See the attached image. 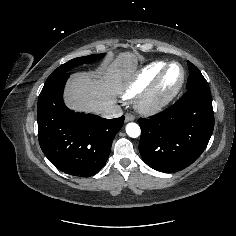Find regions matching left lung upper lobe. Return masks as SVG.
<instances>
[{
  "label": "left lung upper lobe",
  "instance_id": "left-lung-upper-lobe-1",
  "mask_svg": "<svg viewBox=\"0 0 236 236\" xmlns=\"http://www.w3.org/2000/svg\"><path fill=\"white\" fill-rule=\"evenodd\" d=\"M189 67V79L187 82V90L196 87L208 86L206 79L203 77L199 69L193 65L190 61L187 62Z\"/></svg>",
  "mask_w": 236,
  "mask_h": 236
}]
</instances>
